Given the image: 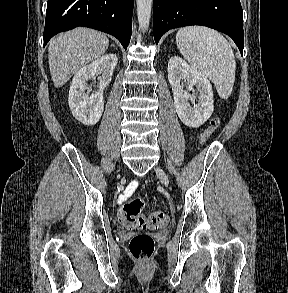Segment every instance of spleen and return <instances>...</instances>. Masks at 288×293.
Returning <instances> with one entry per match:
<instances>
[{"label":"spleen","instance_id":"1","mask_svg":"<svg viewBox=\"0 0 288 293\" xmlns=\"http://www.w3.org/2000/svg\"><path fill=\"white\" fill-rule=\"evenodd\" d=\"M176 43L190 65L208 77L220 97L230 96L236 62L230 43L219 32L202 26H189L178 30Z\"/></svg>","mask_w":288,"mask_h":293}]
</instances>
